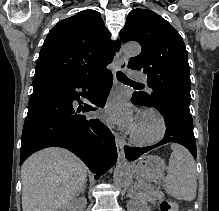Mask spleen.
Listing matches in <instances>:
<instances>
[{
    "label": "spleen",
    "mask_w": 219,
    "mask_h": 211,
    "mask_svg": "<svg viewBox=\"0 0 219 211\" xmlns=\"http://www.w3.org/2000/svg\"><path fill=\"white\" fill-rule=\"evenodd\" d=\"M165 187L169 195L176 199L191 201L196 195L197 179L195 161L188 149L172 143Z\"/></svg>",
    "instance_id": "spleen-1"
}]
</instances>
